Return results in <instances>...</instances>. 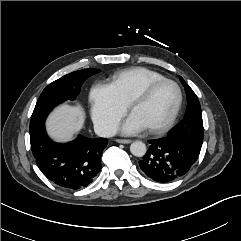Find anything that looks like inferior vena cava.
Wrapping results in <instances>:
<instances>
[{
    "label": "inferior vena cava",
    "mask_w": 241,
    "mask_h": 241,
    "mask_svg": "<svg viewBox=\"0 0 241 241\" xmlns=\"http://www.w3.org/2000/svg\"><path fill=\"white\" fill-rule=\"evenodd\" d=\"M94 131L100 137L109 138L116 135L118 126L116 124H95Z\"/></svg>",
    "instance_id": "1"
}]
</instances>
